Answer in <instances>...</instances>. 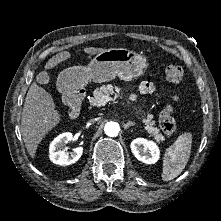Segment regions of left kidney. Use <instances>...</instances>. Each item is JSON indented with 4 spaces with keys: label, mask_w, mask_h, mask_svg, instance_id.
<instances>
[{
    "label": "left kidney",
    "mask_w": 221,
    "mask_h": 221,
    "mask_svg": "<svg viewBox=\"0 0 221 221\" xmlns=\"http://www.w3.org/2000/svg\"><path fill=\"white\" fill-rule=\"evenodd\" d=\"M130 147L134 156L143 163L154 164L159 159L160 151L153 141L137 138L131 142Z\"/></svg>",
    "instance_id": "5707ae66"
}]
</instances>
